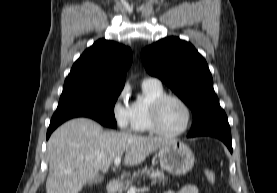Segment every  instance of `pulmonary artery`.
I'll return each mask as SVG.
<instances>
[{
  "instance_id": "e3ab8cb5",
  "label": "pulmonary artery",
  "mask_w": 277,
  "mask_h": 193,
  "mask_svg": "<svg viewBox=\"0 0 277 193\" xmlns=\"http://www.w3.org/2000/svg\"><path fill=\"white\" fill-rule=\"evenodd\" d=\"M142 85L161 86V82L157 78L146 77L142 80Z\"/></svg>"
}]
</instances>
